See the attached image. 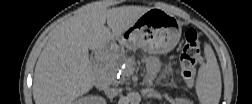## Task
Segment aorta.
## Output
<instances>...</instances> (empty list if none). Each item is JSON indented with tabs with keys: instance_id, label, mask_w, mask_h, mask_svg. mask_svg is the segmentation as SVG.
Wrapping results in <instances>:
<instances>
[{
	"instance_id": "1",
	"label": "aorta",
	"mask_w": 252,
	"mask_h": 104,
	"mask_svg": "<svg viewBox=\"0 0 252 104\" xmlns=\"http://www.w3.org/2000/svg\"><path fill=\"white\" fill-rule=\"evenodd\" d=\"M127 100L130 104H139L141 102V95L138 92H130L127 95Z\"/></svg>"
}]
</instances>
